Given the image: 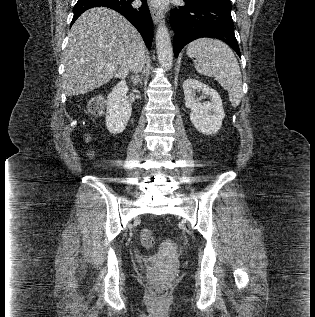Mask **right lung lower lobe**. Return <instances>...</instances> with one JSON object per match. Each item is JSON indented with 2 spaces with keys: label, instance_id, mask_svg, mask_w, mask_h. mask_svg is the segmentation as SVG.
Returning a JSON list of instances; mask_svg holds the SVG:
<instances>
[{
  "label": "right lung lower lobe",
  "instance_id": "1",
  "mask_svg": "<svg viewBox=\"0 0 315 317\" xmlns=\"http://www.w3.org/2000/svg\"><path fill=\"white\" fill-rule=\"evenodd\" d=\"M143 5L134 8L131 3L133 0H78L73 8V20H75L86 10L93 7H108L122 14L132 25H134L147 46L150 49L153 38V22L146 0H141Z\"/></svg>",
  "mask_w": 315,
  "mask_h": 317
}]
</instances>
